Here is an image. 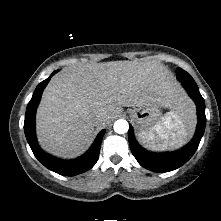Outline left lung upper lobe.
Segmentation results:
<instances>
[{
  "label": "left lung upper lobe",
  "mask_w": 221,
  "mask_h": 221,
  "mask_svg": "<svg viewBox=\"0 0 221 221\" xmlns=\"http://www.w3.org/2000/svg\"><path fill=\"white\" fill-rule=\"evenodd\" d=\"M177 77L181 82H189V83H193L195 82L193 80V78L184 70H182L181 68H177Z\"/></svg>",
  "instance_id": "1"
}]
</instances>
